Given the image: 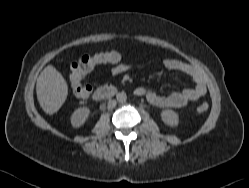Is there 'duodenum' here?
<instances>
[{
  "instance_id": "obj_1",
  "label": "duodenum",
  "mask_w": 249,
  "mask_h": 188,
  "mask_svg": "<svg viewBox=\"0 0 249 188\" xmlns=\"http://www.w3.org/2000/svg\"><path fill=\"white\" fill-rule=\"evenodd\" d=\"M117 93L115 86L107 85L97 88L93 93V98L95 100H104L113 97ZM139 94V91H137Z\"/></svg>"
}]
</instances>
